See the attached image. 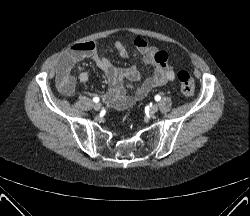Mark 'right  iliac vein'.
I'll return each mask as SVG.
<instances>
[{
  "instance_id": "1",
  "label": "right iliac vein",
  "mask_w": 250,
  "mask_h": 216,
  "mask_svg": "<svg viewBox=\"0 0 250 216\" xmlns=\"http://www.w3.org/2000/svg\"><path fill=\"white\" fill-rule=\"evenodd\" d=\"M94 109H95L96 111H99V110L101 109V103H95V104H94Z\"/></svg>"
}]
</instances>
